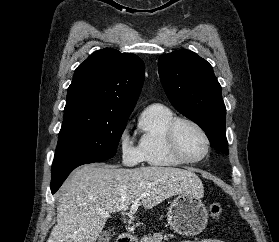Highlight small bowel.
Returning <instances> with one entry per match:
<instances>
[{
	"mask_svg": "<svg viewBox=\"0 0 279 242\" xmlns=\"http://www.w3.org/2000/svg\"><path fill=\"white\" fill-rule=\"evenodd\" d=\"M184 242H194V241H184ZM196 242H225V241L216 238H207Z\"/></svg>",
	"mask_w": 279,
	"mask_h": 242,
	"instance_id": "c3829d8e",
	"label": "small bowel"
}]
</instances>
